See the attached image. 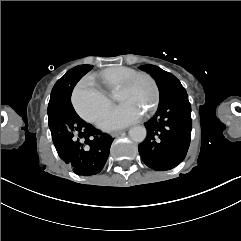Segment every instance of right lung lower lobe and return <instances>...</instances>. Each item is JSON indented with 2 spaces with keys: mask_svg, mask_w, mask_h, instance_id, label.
<instances>
[{
  "mask_svg": "<svg viewBox=\"0 0 241 241\" xmlns=\"http://www.w3.org/2000/svg\"><path fill=\"white\" fill-rule=\"evenodd\" d=\"M91 69V65L78 66L71 75L69 88L73 91L76 83ZM113 140L77 115L64 119L53 142L59 157L76 174L90 176L103 169Z\"/></svg>",
  "mask_w": 241,
  "mask_h": 241,
  "instance_id": "98d812e1",
  "label": "right lung lower lobe"
}]
</instances>
